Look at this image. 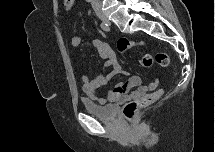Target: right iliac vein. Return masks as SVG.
Segmentation results:
<instances>
[{"mask_svg": "<svg viewBox=\"0 0 215 152\" xmlns=\"http://www.w3.org/2000/svg\"><path fill=\"white\" fill-rule=\"evenodd\" d=\"M99 18L105 23H110L109 19L104 14L99 15Z\"/></svg>", "mask_w": 215, "mask_h": 152, "instance_id": "1", "label": "right iliac vein"}]
</instances>
